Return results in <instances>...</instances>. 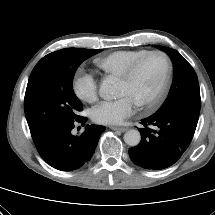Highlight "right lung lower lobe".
Wrapping results in <instances>:
<instances>
[{"label": "right lung lower lobe", "mask_w": 215, "mask_h": 215, "mask_svg": "<svg viewBox=\"0 0 215 215\" xmlns=\"http://www.w3.org/2000/svg\"><path fill=\"white\" fill-rule=\"evenodd\" d=\"M86 121L85 117L80 116L77 120L34 142L44 161L61 171H72L87 163L91 159L105 127L87 125L81 135H73L74 124Z\"/></svg>", "instance_id": "98d812e1"}]
</instances>
